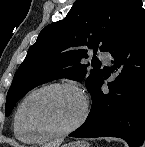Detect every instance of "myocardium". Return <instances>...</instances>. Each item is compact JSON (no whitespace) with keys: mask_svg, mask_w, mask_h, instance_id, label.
Returning a JSON list of instances; mask_svg holds the SVG:
<instances>
[{"mask_svg":"<svg viewBox=\"0 0 145 147\" xmlns=\"http://www.w3.org/2000/svg\"><path fill=\"white\" fill-rule=\"evenodd\" d=\"M51 89H69V90L74 91L79 96V98L82 102V111H81L80 116L73 124H71L70 126L64 128V129H61V130H56V131H49V130L33 131V130H30L25 125L24 120H23V110H24L26 103L34 95H36L40 92H43V91L51 90ZM88 113H89V105H88L87 98H86L85 94L83 93V91L75 84L67 83V82H58V83H50V84L41 86V87L31 91L27 96H25V98L21 101V103L17 109L16 119H17L18 125L22 131H24L28 134H31L39 139H49V138H57V137L65 136V135L72 133L73 131L78 129L86 121Z\"/></svg>","mask_w":145,"mask_h":147,"instance_id":"1","label":"myocardium"}]
</instances>
